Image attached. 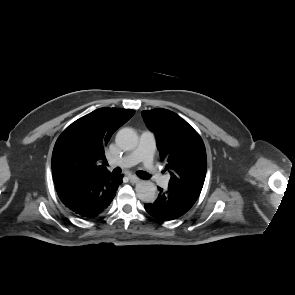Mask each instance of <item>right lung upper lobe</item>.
Instances as JSON below:
<instances>
[{
	"label": "right lung upper lobe",
	"mask_w": 295,
	"mask_h": 295,
	"mask_svg": "<svg viewBox=\"0 0 295 295\" xmlns=\"http://www.w3.org/2000/svg\"><path fill=\"white\" fill-rule=\"evenodd\" d=\"M134 110L99 108L73 122L57 139L52 153L55 185L82 183L109 173L105 148L112 134L133 115Z\"/></svg>",
	"instance_id": "1"
}]
</instances>
